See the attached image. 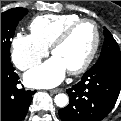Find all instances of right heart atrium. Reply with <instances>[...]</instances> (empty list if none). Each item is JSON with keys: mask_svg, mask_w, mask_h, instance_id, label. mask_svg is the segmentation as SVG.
Segmentation results:
<instances>
[{"mask_svg": "<svg viewBox=\"0 0 121 121\" xmlns=\"http://www.w3.org/2000/svg\"><path fill=\"white\" fill-rule=\"evenodd\" d=\"M49 49L32 34L18 33L11 41V59L15 66L27 71L48 55Z\"/></svg>", "mask_w": 121, "mask_h": 121, "instance_id": "1", "label": "right heart atrium"}]
</instances>
